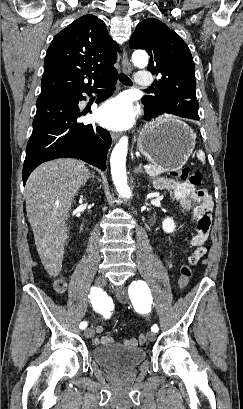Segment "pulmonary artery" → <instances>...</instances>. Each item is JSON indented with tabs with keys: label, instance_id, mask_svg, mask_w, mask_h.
Returning a JSON list of instances; mask_svg holds the SVG:
<instances>
[{
	"label": "pulmonary artery",
	"instance_id": "pulmonary-artery-1",
	"mask_svg": "<svg viewBox=\"0 0 243 409\" xmlns=\"http://www.w3.org/2000/svg\"><path fill=\"white\" fill-rule=\"evenodd\" d=\"M152 76L149 72L147 71H140L137 73L136 78H135V84L138 87H147L152 84Z\"/></svg>",
	"mask_w": 243,
	"mask_h": 409
}]
</instances>
